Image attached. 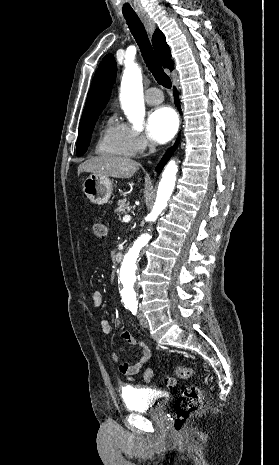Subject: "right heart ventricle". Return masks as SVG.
Instances as JSON below:
<instances>
[{
    "mask_svg": "<svg viewBox=\"0 0 279 465\" xmlns=\"http://www.w3.org/2000/svg\"><path fill=\"white\" fill-rule=\"evenodd\" d=\"M100 155L129 157L133 155L128 142L125 125L112 115L108 118L96 146Z\"/></svg>",
    "mask_w": 279,
    "mask_h": 465,
    "instance_id": "e07e8e85",
    "label": "right heart ventricle"
}]
</instances>
